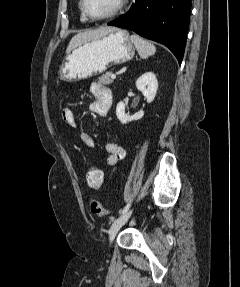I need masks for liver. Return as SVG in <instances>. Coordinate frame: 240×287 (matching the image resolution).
Instances as JSON below:
<instances>
[{
	"label": "liver",
	"mask_w": 240,
	"mask_h": 287,
	"mask_svg": "<svg viewBox=\"0 0 240 287\" xmlns=\"http://www.w3.org/2000/svg\"><path fill=\"white\" fill-rule=\"evenodd\" d=\"M116 29H117L116 27H112V26H103V27H99L98 29L80 32V33H78L72 37V39L70 40L69 45L66 49V52L68 53L71 50H73L74 48H76L77 46H79V45H81L87 41L102 37V36L106 35L107 33L112 32Z\"/></svg>",
	"instance_id": "liver-1"
}]
</instances>
